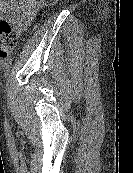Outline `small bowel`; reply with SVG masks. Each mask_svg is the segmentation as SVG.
Masks as SVG:
<instances>
[{
    "label": "small bowel",
    "mask_w": 133,
    "mask_h": 173,
    "mask_svg": "<svg viewBox=\"0 0 133 173\" xmlns=\"http://www.w3.org/2000/svg\"><path fill=\"white\" fill-rule=\"evenodd\" d=\"M38 0H0V18L7 17L17 33L26 31L32 24Z\"/></svg>",
    "instance_id": "c3829d8e"
}]
</instances>
